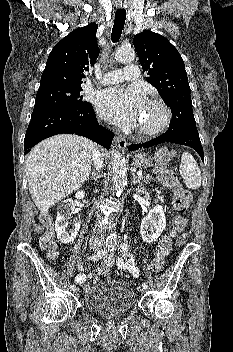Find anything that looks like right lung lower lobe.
<instances>
[{"label": "right lung lower lobe", "instance_id": "right-lung-lower-lobe-1", "mask_svg": "<svg viewBox=\"0 0 233 352\" xmlns=\"http://www.w3.org/2000/svg\"><path fill=\"white\" fill-rule=\"evenodd\" d=\"M76 134L110 148L114 133L99 125L92 105L34 111L24 139V154L45 138Z\"/></svg>", "mask_w": 233, "mask_h": 352}]
</instances>
